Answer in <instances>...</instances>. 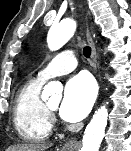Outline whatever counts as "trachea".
Masks as SVG:
<instances>
[{
	"instance_id": "trachea-1",
	"label": "trachea",
	"mask_w": 131,
	"mask_h": 151,
	"mask_svg": "<svg viewBox=\"0 0 131 151\" xmlns=\"http://www.w3.org/2000/svg\"><path fill=\"white\" fill-rule=\"evenodd\" d=\"M83 55L86 57V58H89L90 55H91V47L89 46H86L83 48Z\"/></svg>"
}]
</instances>
